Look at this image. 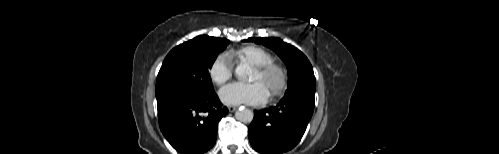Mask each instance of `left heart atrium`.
Wrapping results in <instances>:
<instances>
[{
    "instance_id": "39dd6f15",
    "label": "left heart atrium",
    "mask_w": 499,
    "mask_h": 154,
    "mask_svg": "<svg viewBox=\"0 0 499 154\" xmlns=\"http://www.w3.org/2000/svg\"><path fill=\"white\" fill-rule=\"evenodd\" d=\"M219 97L227 105H261L266 102L268 92L265 86L258 81L233 82L220 90Z\"/></svg>"
}]
</instances>
